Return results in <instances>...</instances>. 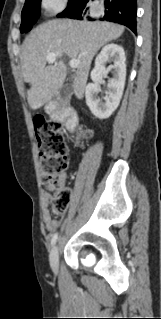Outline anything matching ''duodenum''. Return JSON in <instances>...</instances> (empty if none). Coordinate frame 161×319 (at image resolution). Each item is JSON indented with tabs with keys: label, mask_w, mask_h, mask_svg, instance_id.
Listing matches in <instances>:
<instances>
[{
	"label": "duodenum",
	"mask_w": 161,
	"mask_h": 319,
	"mask_svg": "<svg viewBox=\"0 0 161 319\" xmlns=\"http://www.w3.org/2000/svg\"><path fill=\"white\" fill-rule=\"evenodd\" d=\"M46 111L54 121L64 123L71 130L79 123L76 110L66 106L64 101L51 102Z\"/></svg>",
	"instance_id": "duodenum-1"
}]
</instances>
